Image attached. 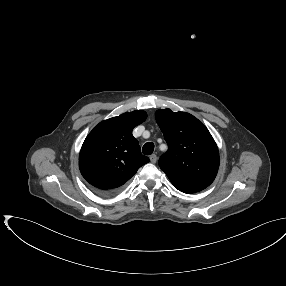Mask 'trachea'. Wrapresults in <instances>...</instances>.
<instances>
[{
	"label": "trachea",
	"instance_id": "obj_1",
	"mask_svg": "<svg viewBox=\"0 0 286 286\" xmlns=\"http://www.w3.org/2000/svg\"><path fill=\"white\" fill-rule=\"evenodd\" d=\"M154 151V144L152 142H147L144 144L142 148V152L144 155H151Z\"/></svg>",
	"mask_w": 286,
	"mask_h": 286
}]
</instances>
